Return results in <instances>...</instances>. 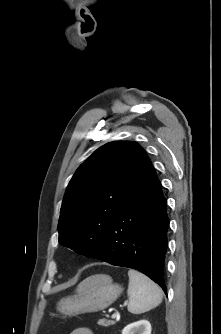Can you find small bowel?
I'll return each instance as SVG.
<instances>
[{
	"mask_svg": "<svg viewBox=\"0 0 221 334\" xmlns=\"http://www.w3.org/2000/svg\"><path fill=\"white\" fill-rule=\"evenodd\" d=\"M70 334H93L89 328L79 327L74 329Z\"/></svg>",
	"mask_w": 221,
	"mask_h": 334,
	"instance_id": "c3829d8e",
	"label": "small bowel"
}]
</instances>
